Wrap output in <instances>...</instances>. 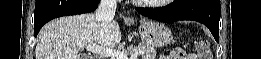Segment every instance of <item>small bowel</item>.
Returning a JSON list of instances; mask_svg holds the SVG:
<instances>
[{
	"label": "small bowel",
	"instance_id": "c3829d8e",
	"mask_svg": "<svg viewBox=\"0 0 261 59\" xmlns=\"http://www.w3.org/2000/svg\"><path fill=\"white\" fill-rule=\"evenodd\" d=\"M188 56L191 57V59H195L196 57L191 55V54H188ZM173 57L171 56V54L169 56H162L161 59H172Z\"/></svg>",
	"mask_w": 261,
	"mask_h": 59
}]
</instances>
